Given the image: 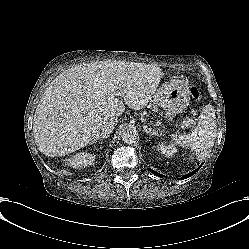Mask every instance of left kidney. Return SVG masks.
<instances>
[{
  "label": "left kidney",
  "instance_id": "left-kidney-1",
  "mask_svg": "<svg viewBox=\"0 0 249 249\" xmlns=\"http://www.w3.org/2000/svg\"><path fill=\"white\" fill-rule=\"evenodd\" d=\"M157 150L164 156L166 157H170L172 156L174 153L177 152L176 147L174 146V144H169L168 146L165 145L164 143H159L157 146Z\"/></svg>",
  "mask_w": 249,
  "mask_h": 249
}]
</instances>
